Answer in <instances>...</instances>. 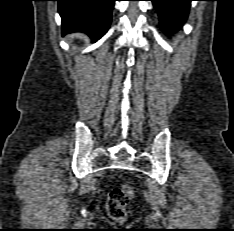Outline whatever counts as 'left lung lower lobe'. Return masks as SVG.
Returning a JSON list of instances; mask_svg holds the SVG:
<instances>
[{
  "mask_svg": "<svg viewBox=\"0 0 234 231\" xmlns=\"http://www.w3.org/2000/svg\"><path fill=\"white\" fill-rule=\"evenodd\" d=\"M158 11L161 28L167 32L178 30L186 21L189 4L193 0H151Z\"/></svg>",
  "mask_w": 234,
  "mask_h": 231,
  "instance_id": "left-lung-lower-lobe-1",
  "label": "left lung lower lobe"
}]
</instances>
